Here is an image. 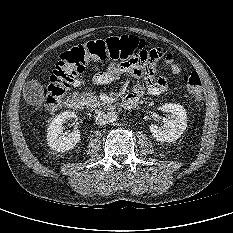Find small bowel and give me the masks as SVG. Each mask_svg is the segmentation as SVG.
Here are the masks:
<instances>
[{"instance_id": "small-bowel-1", "label": "small bowel", "mask_w": 233, "mask_h": 233, "mask_svg": "<svg viewBox=\"0 0 233 233\" xmlns=\"http://www.w3.org/2000/svg\"><path fill=\"white\" fill-rule=\"evenodd\" d=\"M168 54L162 48H143L135 55L127 60V62H117L110 65L105 71L97 73L93 77V82L96 85H104L117 79H125L130 75L140 80L144 85H147V91L150 94L157 95L164 92L167 88V82L164 77L156 78V73L153 70L154 66H161L167 60ZM82 80H76L74 87H79ZM138 98L143 94V89L139 84H136L130 93Z\"/></svg>"}]
</instances>
